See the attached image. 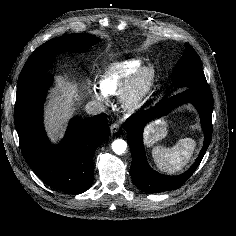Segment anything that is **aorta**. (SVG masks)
I'll return each mask as SVG.
<instances>
[{
    "instance_id": "762f6f07",
    "label": "aorta",
    "mask_w": 236,
    "mask_h": 236,
    "mask_svg": "<svg viewBox=\"0 0 236 236\" xmlns=\"http://www.w3.org/2000/svg\"><path fill=\"white\" fill-rule=\"evenodd\" d=\"M126 148L127 143L122 139H116L112 143V149L118 155L123 154L126 151Z\"/></svg>"
}]
</instances>
